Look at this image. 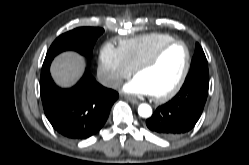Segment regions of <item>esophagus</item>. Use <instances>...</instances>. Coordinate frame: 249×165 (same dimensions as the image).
I'll list each match as a JSON object with an SVG mask.
<instances>
[{
	"instance_id": "1",
	"label": "esophagus",
	"mask_w": 249,
	"mask_h": 165,
	"mask_svg": "<svg viewBox=\"0 0 249 165\" xmlns=\"http://www.w3.org/2000/svg\"><path fill=\"white\" fill-rule=\"evenodd\" d=\"M126 99H127L130 103H132V104H138V103H139V101H138L137 99H135V98H133V97H130V96H126Z\"/></svg>"
}]
</instances>
